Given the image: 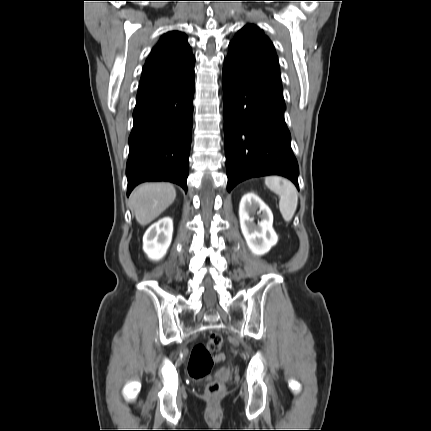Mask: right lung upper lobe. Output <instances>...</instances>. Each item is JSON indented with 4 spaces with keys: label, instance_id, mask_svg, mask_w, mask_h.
<instances>
[{
    "label": "right lung upper lobe",
    "instance_id": "cb5924a9",
    "mask_svg": "<svg viewBox=\"0 0 431 431\" xmlns=\"http://www.w3.org/2000/svg\"><path fill=\"white\" fill-rule=\"evenodd\" d=\"M194 62L185 34H164L144 65L136 106L161 99L194 78Z\"/></svg>",
    "mask_w": 431,
    "mask_h": 431
}]
</instances>
